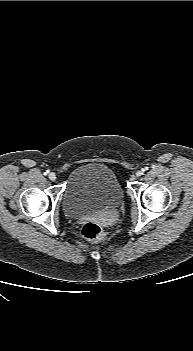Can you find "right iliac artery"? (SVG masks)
Returning <instances> with one entry per match:
<instances>
[{
	"instance_id": "right-iliac-artery-1",
	"label": "right iliac artery",
	"mask_w": 193,
	"mask_h": 351,
	"mask_svg": "<svg viewBox=\"0 0 193 351\" xmlns=\"http://www.w3.org/2000/svg\"><path fill=\"white\" fill-rule=\"evenodd\" d=\"M48 173H49V171L47 170V171L44 172V175H47Z\"/></svg>"
}]
</instances>
